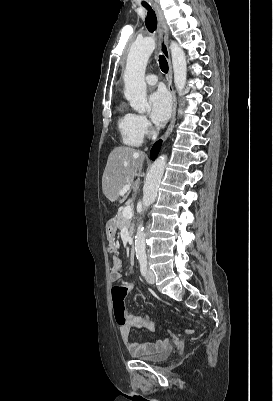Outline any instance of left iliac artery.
<instances>
[{
	"label": "left iliac artery",
	"instance_id": "obj_1",
	"mask_svg": "<svg viewBox=\"0 0 273 401\" xmlns=\"http://www.w3.org/2000/svg\"><path fill=\"white\" fill-rule=\"evenodd\" d=\"M139 262H140L141 274L144 276L146 274V271H147V259H146V257L140 258Z\"/></svg>",
	"mask_w": 273,
	"mask_h": 401
}]
</instances>
